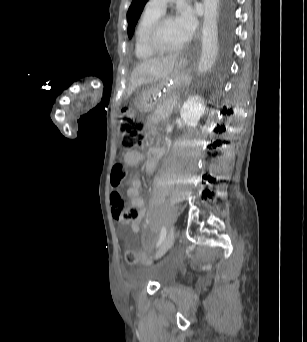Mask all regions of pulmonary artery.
I'll return each instance as SVG.
<instances>
[{
  "label": "pulmonary artery",
  "instance_id": "1",
  "mask_svg": "<svg viewBox=\"0 0 307 342\" xmlns=\"http://www.w3.org/2000/svg\"><path fill=\"white\" fill-rule=\"evenodd\" d=\"M170 1H147V7L158 13L163 14L165 11V5Z\"/></svg>",
  "mask_w": 307,
  "mask_h": 342
}]
</instances>
